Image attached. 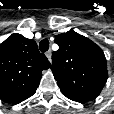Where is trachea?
Segmentation results:
<instances>
[{"instance_id":"1","label":"trachea","mask_w":114,"mask_h":114,"mask_svg":"<svg viewBox=\"0 0 114 114\" xmlns=\"http://www.w3.org/2000/svg\"><path fill=\"white\" fill-rule=\"evenodd\" d=\"M39 49H40L41 52L48 51V49H49V41H48V39H43L42 41H40Z\"/></svg>"}]
</instances>
